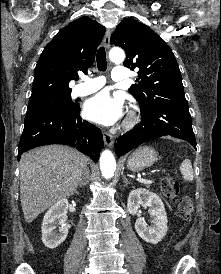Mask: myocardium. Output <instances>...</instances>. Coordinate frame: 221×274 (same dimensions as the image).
Wrapping results in <instances>:
<instances>
[{"label": "myocardium", "instance_id": "f54148a6", "mask_svg": "<svg viewBox=\"0 0 221 274\" xmlns=\"http://www.w3.org/2000/svg\"><path fill=\"white\" fill-rule=\"evenodd\" d=\"M138 120L137 115L134 112H131L127 121L128 126L134 125Z\"/></svg>", "mask_w": 221, "mask_h": 274}]
</instances>
